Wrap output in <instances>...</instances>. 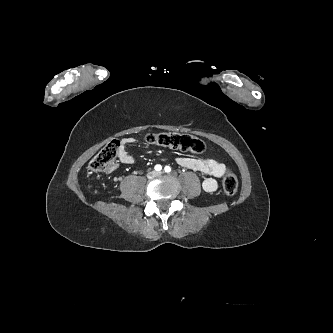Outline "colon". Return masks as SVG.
<instances>
[{
  "label": "colon",
  "instance_id": "5ec220e1",
  "mask_svg": "<svg viewBox=\"0 0 333 333\" xmlns=\"http://www.w3.org/2000/svg\"><path fill=\"white\" fill-rule=\"evenodd\" d=\"M145 141L152 145L168 147L193 154H205L208 152L206 143L192 135L176 132L153 133L145 137ZM119 142L108 143L90 162L89 168L94 172L111 170L116 165V157L119 151ZM223 190L227 196H233L238 189V180L235 173L227 168L223 176Z\"/></svg>",
  "mask_w": 333,
  "mask_h": 333
}]
</instances>
